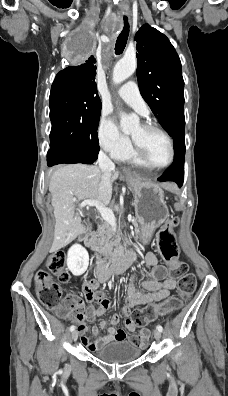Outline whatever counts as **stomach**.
Returning <instances> with one entry per match:
<instances>
[{
    "instance_id": "0dacf381",
    "label": "stomach",
    "mask_w": 228,
    "mask_h": 396,
    "mask_svg": "<svg viewBox=\"0 0 228 396\" xmlns=\"http://www.w3.org/2000/svg\"><path fill=\"white\" fill-rule=\"evenodd\" d=\"M125 179L134 194L135 213L141 230L140 238L146 243L168 216L164 192L154 182L144 181L135 176H126Z\"/></svg>"
}]
</instances>
